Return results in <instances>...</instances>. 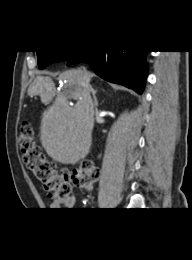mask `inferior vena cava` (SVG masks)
I'll use <instances>...</instances> for the list:
<instances>
[{"label": "inferior vena cava", "mask_w": 192, "mask_h": 260, "mask_svg": "<svg viewBox=\"0 0 192 260\" xmlns=\"http://www.w3.org/2000/svg\"><path fill=\"white\" fill-rule=\"evenodd\" d=\"M85 71V70H84ZM87 72V71H86ZM87 87H88V91H90V89H89V85H87Z\"/></svg>", "instance_id": "602c4592"}]
</instances>
